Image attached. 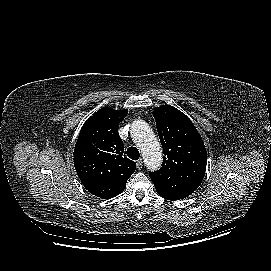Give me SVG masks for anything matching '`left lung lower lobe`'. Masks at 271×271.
<instances>
[{
	"instance_id": "left-lung-lower-lobe-1",
	"label": "left lung lower lobe",
	"mask_w": 271,
	"mask_h": 271,
	"mask_svg": "<svg viewBox=\"0 0 271 271\" xmlns=\"http://www.w3.org/2000/svg\"><path fill=\"white\" fill-rule=\"evenodd\" d=\"M198 186L194 183H191L181 177H172L169 179L167 184L166 191H158L157 193L168 200H180L185 197H188L192 194Z\"/></svg>"
}]
</instances>
